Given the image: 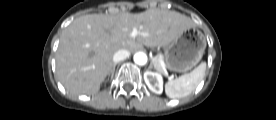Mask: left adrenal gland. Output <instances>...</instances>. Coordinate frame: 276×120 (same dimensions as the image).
<instances>
[{
	"label": "left adrenal gland",
	"mask_w": 276,
	"mask_h": 120,
	"mask_svg": "<svg viewBox=\"0 0 276 120\" xmlns=\"http://www.w3.org/2000/svg\"><path fill=\"white\" fill-rule=\"evenodd\" d=\"M153 63H154V62H153V60H152V62H151V64H150L149 69H151V68H152Z\"/></svg>",
	"instance_id": "a2214340"
}]
</instances>
